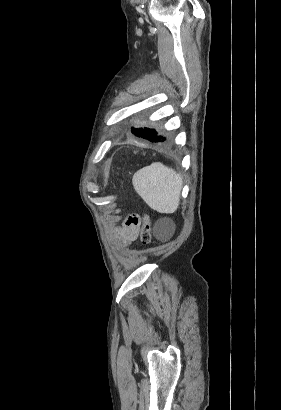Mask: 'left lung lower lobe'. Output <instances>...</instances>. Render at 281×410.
Here are the masks:
<instances>
[{
    "instance_id": "1",
    "label": "left lung lower lobe",
    "mask_w": 281,
    "mask_h": 410,
    "mask_svg": "<svg viewBox=\"0 0 281 410\" xmlns=\"http://www.w3.org/2000/svg\"><path fill=\"white\" fill-rule=\"evenodd\" d=\"M132 132L138 136L142 137L144 139H148L152 142H160L162 140V137L157 136V132L154 129H149V128H140V129H132ZM165 138H163V141Z\"/></svg>"
}]
</instances>
